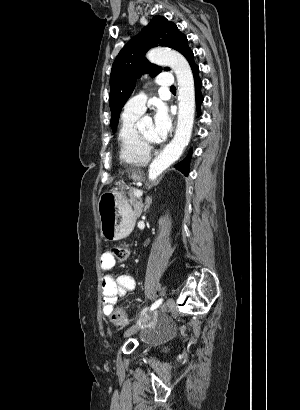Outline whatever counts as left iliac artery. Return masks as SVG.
I'll list each match as a JSON object with an SVG mask.
<instances>
[{
    "instance_id": "left-iliac-artery-1",
    "label": "left iliac artery",
    "mask_w": 300,
    "mask_h": 410,
    "mask_svg": "<svg viewBox=\"0 0 300 410\" xmlns=\"http://www.w3.org/2000/svg\"><path fill=\"white\" fill-rule=\"evenodd\" d=\"M162 299L157 300L155 303L152 304V306L150 307V311H153L154 309L158 308L160 306V304L162 303Z\"/></svg>"
}]
</instances>
